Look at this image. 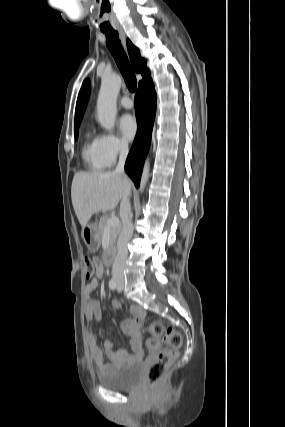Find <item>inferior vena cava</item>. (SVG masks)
Listing matches in <instances>:
<instances>
[{
  "label": "inferior vena cava",
  "instance_id": "inferior-vena-cava-1",
  "mask_svg": "<svg viewBox=\"0 0 285 427\" xmlns=\"http://www.w3.org/2000/svg\"><path fill=\"white\" fill-rule=\"evenodd\" d=\"M128 146L121 145L120 146V154H119V162L115 169V173L122 175L124 178V165L125 161L128 155ZM130 187H126L125 192L122 197V201L120 204V216L122 218L123 227L119 235L118 239V252L116 255V258L113 263L112 272L113 275H122L123 270L125 267V262L128 257V242L132 237L133 234V224L131 222L130 217V202H129V196H130Z\"/></svg>",
  "mask_w": 285,
  "mask_h": 427
}]
</instances>
